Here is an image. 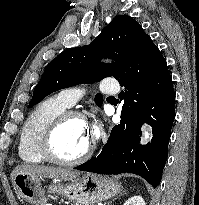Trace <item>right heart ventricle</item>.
I'll list each match as a JSON object with an SVG mask.
<instances>
[{
  "mask_svg": "<svg viewBox=\"0 0 199 205\" xmlns=\"http://www.w3.org/2000/svg\"><path fill=\"white\" fill-rule=\"evenodd\" d=\"M60 96L45 99L36 106L27 118L21 132L18 153L20 158L30 164L46 162L39 151V140L46 125L59 113L67 109Z\"/></svg>",
  "mask_w": 199,
  "mask_h": 205,
  "instance_id": "obj_1",
  "label": "right heart ventricle"
}]
</instances>
